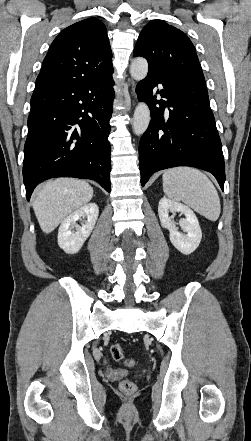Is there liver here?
Segmentation results:
<instances>
[{"label": "liver", "instance_id": "liver-1", "mask_svg": "<svg viewBox=\"0 0 251 441\" xmlns=\"http://www.w3.org/2000/svg\"><path fill=\"white\" fill-rule=\"evenodd\" d=\"M93 197V188L85 181L60 178L47 181L33 200V210L40 228L51 233L66 216L87 204Z\"/></svg>", "mask_w": 251, "mask_h": 441}]
</instances>
